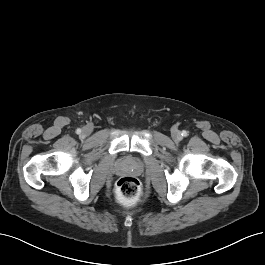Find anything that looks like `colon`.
<instances>
[{"label":"colon","instance_id":"colon-1","mask_svg":"<svg viewBox=\"0 0 265 265\" xmlns=\"http://www.w3.org/2000/svg\"><path fill=\"white\" fill-rule=\"evenodd\" d=\"M140 192V183L134 177H122L117 182V193L124 200L134 201L138 199Z\"/></svg>","mask_w":265,"mask_h":265}]
</instances>
